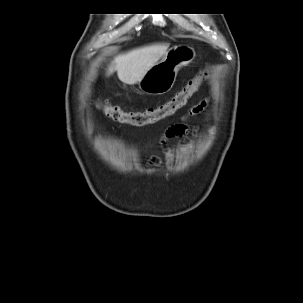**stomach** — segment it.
Returning <instances> with one entry per match:
<instances>
[{
  "label": "stomach",
  "mask_w": 303,
  "mask_h": 303,
  "mask_svg": "<svg viewBox=\"0 0 303 303\" xmlns=\"http://www.w3.org/2000/svg\"><path fill=\"white\" fill-rule=\"evenodd\" d=\"M195 57L193 48L186 45L171 47L160 62L153 65L139 81V88L149 95H162L171 90L180 67Z\"/></svg>",
  "instance_id": "0dacf381"
}]
</instances>
